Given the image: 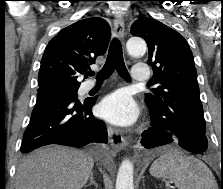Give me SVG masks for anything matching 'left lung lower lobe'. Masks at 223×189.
I'll return each mask as SVG.
<instances>
[{"label":"left lung lower lobe","mask_w":223,"mask_h":189,"mask_svg":"<svg viewBox=\"0 0 223 189\" xmlns=\"http://www.w3.org/2000/svg\"><path fill=\"white\" fill-rule=\"evenodd\" d=\"M151 124L153 127L142 134L141 144L145 148H155L174 142L195 154H202L207 150L205 134L191 130L167 129L153 112H151Z\"/></svg>","instance_id":"left-lung-lower-lobe-1"}]
</instances>
